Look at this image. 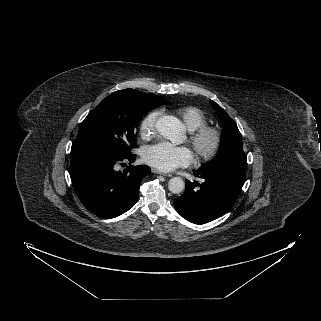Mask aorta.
<instances>
[{
  "mask_svg": "<svg viewBox=\"0 0 321 321\" xmlns=\"http://www.w3.org/2000/svg\"><path fill=\"white\" fill-rule=\"evenodd\" d=\"M158 133L173 143H179L184 135L181 122L172 116H162L156 122ZM169 191L173 194L181 193L185 188V182L180 177H173L168 182Z\"/></svg>",
  "mask_w": 321,
  "mask_h": 321,
  "instance_id": "obj_1",
  "label": "aorta"
}]
</instances>
